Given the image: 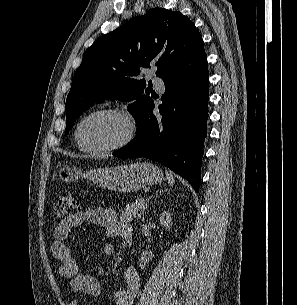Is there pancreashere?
Wrapping results in <instances>:
<instances>
[{
  "label": "pancreas",
  "mask_w": 297,
  "mask_h": 305,
  "mask_svg": "<svg viewBox=\"0 0 297 305\" xmlns=\"http://www.w3.org/2000/svg\"><path fill=\"white\" fill-rule=\"evenodd\" d=\"M140 199L136 201V203H132L129 205H126L124 209L120 213V221L121 222H130L133 220V218L137 215L138 211L142 208L143 203L138 205L137 202H139Z\"/></svg>",
  "instance_id": "1"
}]
</instances>
